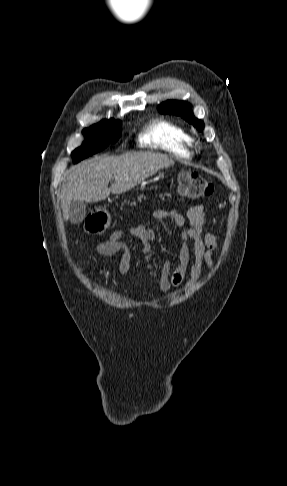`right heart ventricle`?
Listing matches in <instances>:
<instances>
[{
    "instance_id": "right-heart-ventricle-1",
    "label": "right heart ventricle",
    "mask_w": 287,
    "mask_h": 486,
    "mask_svg": "<svg viewBox=\"0 0 287 486\" xmlns=\"http://www.w3.org/2000/svg\"><path fill=\"white\" fill-rule=\"evenodd\" d=\"M139 143L179 157H188L192 153L188 132L182 126L167 120H158L148 125L139 136Z\"/></svg>"
}]
</instances>
